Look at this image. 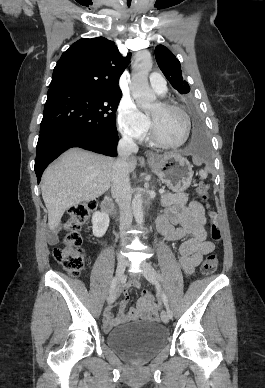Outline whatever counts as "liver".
Segmentation results:
<instances>
[{"label":"liver","instance_id":"liver-1","mask_svg":"<svg viewBox=\"0 0 265 388\" xmlns=\"http://www.w3.org/2000/svg\"><path fill=\"white\" fill-rule=\"evenodd\" d=\"M114 162V158L71 148L46 168L41 190L51 232L59 226L65 210L80 202H91L109 190ZM128 164L130 172H134L137 158L129 156Z\"/></svg>","mask_w":265,"mask_h":388}]
</instances>
